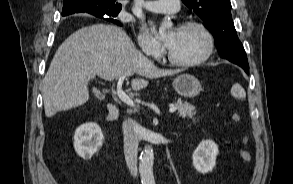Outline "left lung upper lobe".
Masks as SVG:
<instances>
[{
  "mask_svg": "<svg viewBox=\"0 0 293 184\" xmlns=\"http://www.w3.org/2000/svg\"><path fill=\"white\" fill-rule=\"evenodd\" d=\"M183 3L202 18L215 39L219 54L228 60L246 56L234 48L240 42L231 16L230 0H182ZM225 46L233 50H225Z\"/></svg>",
  "mask_w": 293,
  "mask_h": 184,
  "instance_id": "obj_1",
  "label": "left lung upper lobe"
}]
</instances>
